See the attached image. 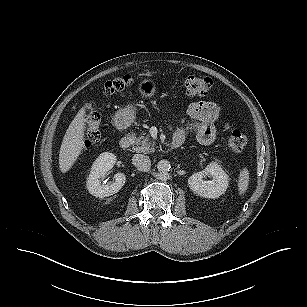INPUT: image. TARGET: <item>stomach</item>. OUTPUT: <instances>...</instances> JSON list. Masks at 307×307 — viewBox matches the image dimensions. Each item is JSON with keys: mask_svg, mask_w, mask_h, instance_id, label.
Instances as JSON below:
<instances>
[{"mask_svg": "<svg viewBox=\"0 0 307 307\" xmlns=\"http://www.w3.org/2000/svg\"><path fill=\"white\" fill-rule=\"evenodd\" d=\"M138 91L144 97H152L156 92V84L151 79H145L140 82ZM136 115V108L133 104L127 105L125 108L118 110L113 118L114 124L118 129H123L131 125Z\"/></svg>", "mask_w": 307, "mask_h": 307, "instance_id": "stomach-1", "label": "stomach"}]
</instances>
